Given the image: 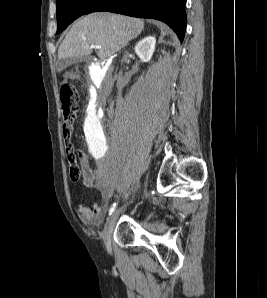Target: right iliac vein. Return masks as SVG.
Here are the masks:
<instances>
[{"label": "right iliac vein", "instance_id": "1", "mask_svg": "<svg viewBox=\"0 0 267 298\" xmlns=\"http://www.w3.org/2000/svg\"><path fill=\"white\" fill-rule=\"evenodd\" d=\"M122 211V208L117 209L108 219L107 222L105 224V227L102 231V239L104 242V245L106 247V250L108 252H111V236H112V232H113V228L115 226L117 217L119 215V213Z\"/></svg>", "mask_w": 267, "mask_h": 298}]
</instances>
